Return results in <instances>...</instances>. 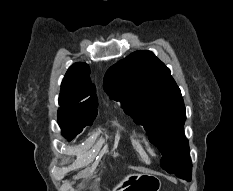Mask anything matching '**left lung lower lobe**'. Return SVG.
Instances as JSON below:
<instances>
[{"label": "left lung lower lobe", "mask_w": 233, "mask_h": 191, "mask_svg": "<svg viewBox=\"0 0 233 191\" xmlns=\"http://www.w3.org/2000/svg\"><path fill=\"white\" fill-rule=\"evenodd\" d=\"M191 174H192V172L191 173H187V174H183V175H181V176H178L179 178H182V179H185V180H187V181H190L191 180ZM177 176V175H176Z\"/></svg>", "instance_id": "1"}]
</instances>
